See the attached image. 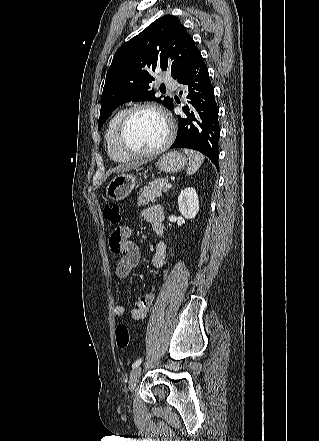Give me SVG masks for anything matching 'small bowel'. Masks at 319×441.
<instances>
[{"label": "small bowel", "instance_id": "small-bowel-1", "mask_svg": "<svg viewBox=\"0 0 319 441\" xmlns=\"http://www.w3.org/2000/svg\"><path fill=\"white\" fill-rule=\"evenodd\" d=\"M142 217L151 225L154 233L159 238L152 256V264L156 268H162L166 263V244L163 240L164 210L160 205L150 206L142 211ZM109 243L112 252L120 256L116 267V275L119 279H123L138 265L140 260L139 249L131 240L129 230L126 227L120 228L117 236L112 233ZM154 297L153 293L140 297L131 310V317L137 321L145 319L154 301ZM114 313L116 316L124 315L125 307L121 304H116L114 306Z\"/></svg>", "mask_w": 319, "mask_h": 441}]
</instances>
